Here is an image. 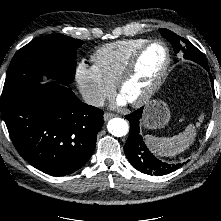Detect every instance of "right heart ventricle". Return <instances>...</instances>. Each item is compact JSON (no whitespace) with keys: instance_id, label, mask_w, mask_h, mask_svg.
<instances>
[{"instance_id":"right-heart-ventricle-1","label":"right heart ventricle","mask_w":221,"mask_h":221,"mask_svg":"<svg viewBox=\"0 0 221 221\" xmlns=\"http://www.w3.org/2000/svg\"><path fill=\"white\" fill-rule=\"evenodd\" d=\"M147 41L145 38H133L104 44L92 55L94 66L105 80L115 85L130 56Z\"/></svg>"}]
</instances>
